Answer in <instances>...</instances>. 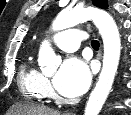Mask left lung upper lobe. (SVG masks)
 <instances>
[{
    "label": "left lung upper lobe",
    "mask_w": 131,
    "mask_h": 115,
    "mask_svg": "<svg viewBox=\"0 0 131 115\" xmlns=\"http://www.w3.org/2000/svg\"><path fill=\"white\" fill-rule=\"evenodd\" d=\"M93 4L103 9L108 7L107 0H93Z\"/></svg>",
    "instance_id": "left-lung-upper-lobe-1"
}]
</instances>
